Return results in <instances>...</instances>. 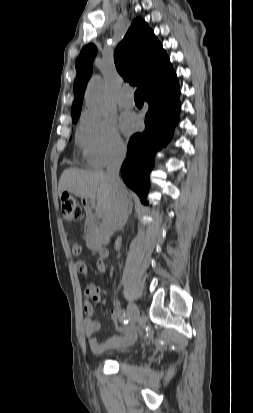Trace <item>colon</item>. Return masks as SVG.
<instances>
[{
  "instance_id": "obj_1",
  "label": "colon",
  "mask_w": 253,
  "mask_h": 413,
  "mask_svg": "<svg viewBox=\"0 0 253 413\" xmlns=\"http://www.w3.org/2000/svg\"><path fill=\"white\" fill-rule=\"evenodd\" d=\"M62 216L65 220L67 221H76L81 219L82 217V211L80 206L78 205L76 199L69 195V194H64L62 196ZM91 298L93 300L98 299V292H92L91 293Z\"/></svg>"
}]
</instances>
